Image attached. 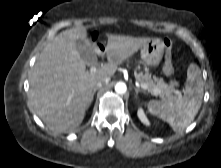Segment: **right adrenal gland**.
Masks as SVG:
<instances>
[{"instance_id": "right-adrenal-gland-1", "label": "right adrenal gland", "mask_w": 221, "mask_h": 168, "mask_svg": "<svg viewBox=\"0 0 221 168\" xmlns=\"http://www.w3.org/2000/svg\"><path fill=\"white\" fill-rule=\"evenodd\" d=\"M99 88H94V90H93V92H92V94H91V96H90V98H89V100H88V103H87V108L91 105V103H92V101H93V98H94V95H95V93H96V91L98 90Z\"/></svg>"}]
</instances>
